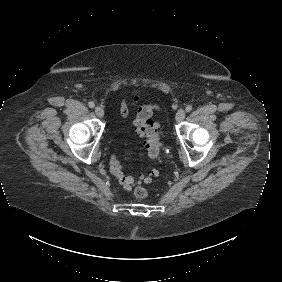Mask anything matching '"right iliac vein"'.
Here are the masks:
<instances>
[{"label":"right iliac vein","mask_w":282,"mask_h":282,"mask_svg":"<svg viewBox=\"0 0 282 282\" xmlns=\"http://www.w3.org/2000/svg\"><path fill=\"white\" fill-rule=\"evenodd\" d=\"M95 113L100 118H102L104 116V110L100 106L95 107Z\"/></svg>","instance_id":"1"}]
</instances>
